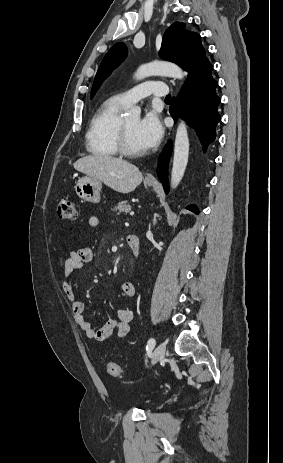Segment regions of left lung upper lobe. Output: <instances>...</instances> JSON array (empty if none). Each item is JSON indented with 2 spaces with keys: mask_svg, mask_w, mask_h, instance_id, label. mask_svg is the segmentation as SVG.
<instances>
[{
  "mask_svg": "<svg viewBox=\"0 0 283 463\" xmlns=\"http://www.w3.org/2000/svg\"><path fill=\"white\" fill-rule=\"evenodd\" d=\"M201 44V36L185 29V24L175 22L164 33L159 55L162 59L174 62L189 72L196 64L207 60ZM124 43H116L103 58L92 86V99L103 81L126 57Z\"/></svg>",
  "mask_w": 283,
  "mask_h": 463,
  "instance_id": "left-lung-upper-lobe-1",
  "label": "left lung upper lobe"
}]
</instances>
